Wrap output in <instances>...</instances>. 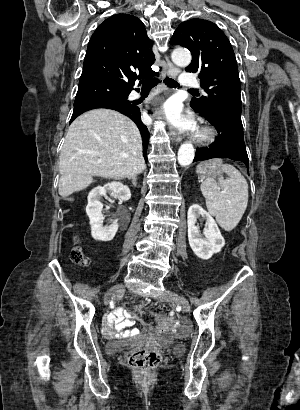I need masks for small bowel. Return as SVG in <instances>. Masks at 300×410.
<instances>
[{
	"label": "small bowel",
	"mask_w": 300,
	"mask_h": 410,
	"mask_svg": "<svg viewBox=\"0 0 300 410\" xmlns=\"http://www.w3.org/2000/svg\"><path fill=\"white\" fill-rule=\"evenodd\" d=\"M134 323V318L128 312L121 307H116L106 315L103 333L107 338L116 336L127 338L137 334L136 329H130Z\"/></svg>",
	"instance_id": "c3829d8e"
}]
</instances>
